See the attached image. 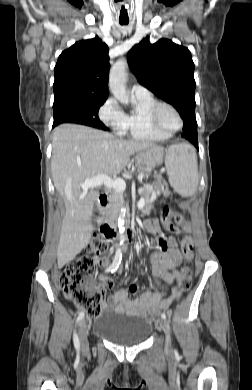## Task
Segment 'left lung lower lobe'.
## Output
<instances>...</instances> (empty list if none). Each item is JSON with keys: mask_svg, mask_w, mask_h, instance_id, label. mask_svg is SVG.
<instances>
[{"mask_svg": "<svg viewBox=\"0 0 252 390\" xmlns=\"http://www.w3.org/2000/svg\"><path fill=\"white\" fill-rule=\"evenodd\" d=\"M183 121H184V127H183L182 137L188 139L198 149L196 118H187L184 119Z\"/></svg>", "mask_w": 252, "mask_h": 390, "instance_id": "left-lung-lower-lobe-1", "label": "left lung lower lobe"}]
</instances>
